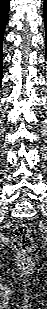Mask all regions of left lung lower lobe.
<instances>
[{"label":"left lung lower lobe","instance_id":"obj_1","mask_svg":"<svg viewBox=\"0 0 47 309\" xmlns=\"http://www.w3.org/2000/svg\"><path fill=\"white\" fill-rule=\"evenodd\" d=\"M44 19H45V27H46V38H47V0L44 1ZM46 54H47V48H46Z\"/></svg>","mask_w":47,"mask_h":309}]
</instances>
